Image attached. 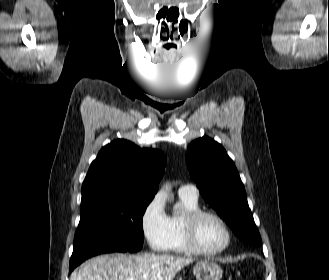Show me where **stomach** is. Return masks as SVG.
<instances>
[{
    "mask_svg": "<svg viewBox=\"0 0 329 280\" xmlns=\"http://www.w3.org/2000/svg\"><path fill=\"white\" fill-rule=\"evenodd\" d=\"M193 274L197 280H220L222 270L214 262L199 261L193 267Z\"/></svg>",
    "mask_w": 329,
    "mask_h": 280,
    "instance_id": "1",
    "label": "stomach"
}]
</instances>
